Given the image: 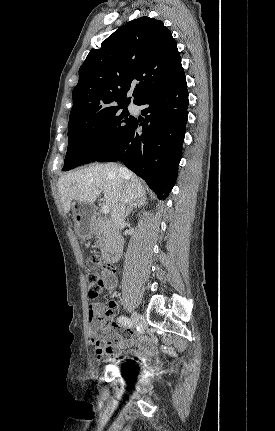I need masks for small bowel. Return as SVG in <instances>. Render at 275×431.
Masks as SVG:
<instances>
[{"label": "small bowel", "instance_id": "small-bowel-1", "mask_svg": "<svg viewBox=\"0 0 275 431\" xmlns=\"http://www.w3.org/2000/svg\"><path fill=\"white\" fill-rule=\"evenodd\" d=\"M105 287L109 293L113 292L117 279L112 273L104 274ZM103 306L92 305L89 309L90 341L94 345V356L98 360H107L113 357H120L127 354H134L140 359L146 358L153 351L148 340L134 333H122L121 328L113 321L115 314V304L108 313V322L105 327H100L97 323L98 315L102 312Z\"/></svg>", "mask_w": 275, "mask_h": 431}]
</instances>
